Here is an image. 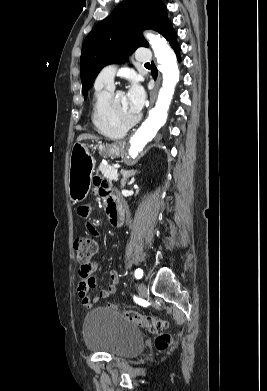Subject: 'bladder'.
I'll list each match as a JSON object with an SVG mask.
<instances>
[{
    "mask_svg": "<svg viewBox=\"0 0 267 391\" xmlns=\"http://www.w3.org/2000/svg\"><path fill=\"white\" fill-rule=\"evenodd\" d=\"M83 340L89 351L117 357L136 356L144 346L140 329L107 309H94L87 314L83 323Z\"/></svg>",
    "mask_w": 267,
    "mask_h": 391,
    "instance_id": "bladder-1",
    "label": "bladder"
}]
</instances>
